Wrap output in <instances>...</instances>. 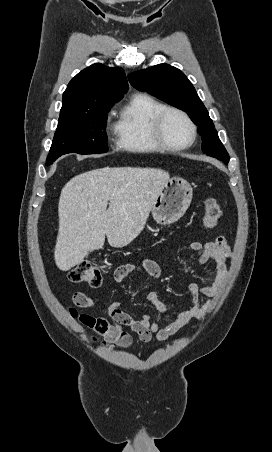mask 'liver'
Returning <instances> with one entry per match:
<instances>
[{"label":"liver","instance_id":"liver-1","mask_svg":"<svg viewBox=\"0 0 272 452\" xmlns=\"http://www.w3.org/2000/svg\"><path fill=\"white\" fill-rule=\"evenodd\" d=\"M169 178L161 169L133 167H104L73 177L59 198L57 267L68 271L78 265L89 251L103 247L105 236L115 248L131 243Z\"/></svg>","mask_w":272,"mask_h":452}]
</instances>
